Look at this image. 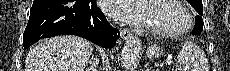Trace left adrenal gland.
Returning <instances> with one entry per match:
<instances>
[{
    "mask_svg": "<svg viewBox=\"0 0 230 71\" xmlns=\"http://www.w3.org/2000/svg\"><path fill=\"white\" fill-rule=\"evenodd\" d=\"M145 68H146V71L149 70V65H148V63L145 65Z\"/></svg>",
    "mask_w": 230,
    "mask_h": 71,
    "instance_id": "left-adrenal-gland-1",
    "label": "left adrenal gland"
}]
</instances>
